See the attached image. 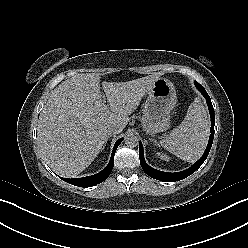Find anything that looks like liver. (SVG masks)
Masks as SVG:
<instances>
[{"instance_id": "1", "label": "liver", "mask_w": 248, "mask_h": 248, "mask_svg": "<svg viewBox=\"0 0 248 248\" xmlns=\"http://www.w3.org/2000/svg\"><path fill=\"white\" fill-rule=\"evenodd\" d=\"M160 75L104 81L102 88L112 112L104 109L99 75L80 74L63 81L52 91L39 120L37 140L46 163L63 177L84 171L107 142V125L115 124L122 131Z\"/></svg>"}]
</instances>
